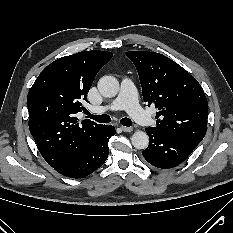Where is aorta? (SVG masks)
I'll return each instance as SVG.
<instances>
[{"instance_id":"762f6f07","label":"aorta","mask_w":233,"mask_h":233,"mask_svg":"<svg viewBox=\"0 0 233 233\" xmlns=\"http://www.w3.org/2000/svg\"><path fill=\"white\" fill-rule=\"evenodd\" d=\"M98 90L104 97H115L119 92V82L113 76H104L98 81ZM131 142L136 149H146L149 137L146 132L136 131L131 137Z\"/></svg>"}]
</instances>
